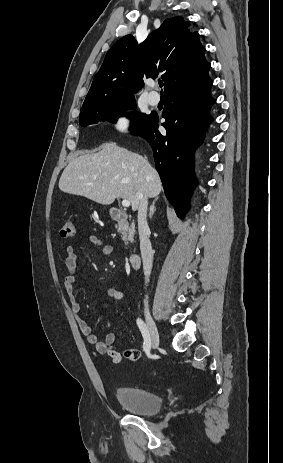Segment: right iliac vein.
Masks as SVG:
<instances>
[{
	"instance_id": "1",
	"label": "right iliac vein",
	"mask_w": 283,
	"mask_h": 463,
	"mask_svg": "<svg viewBox=\"0 0 283 463\" xmlns=\"http://www.w3.org/2000/svg\"><path fill=\"white\" fill-rule=\"evenodd\" d=\"M147 328L150 335L151 345L153 348H157L159 345V333L156 323L149 313L145 314Z\"/></svg>"
}]
</instances>
